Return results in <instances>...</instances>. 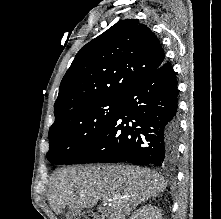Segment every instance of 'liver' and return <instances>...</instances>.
I'll return each mask as SVG.
<instances>
[{"label":"liver","instance_id":"1","mask_svg":"<svg viewBox=\"0 0 221 219\" xmlns=\"http://www.w3.org/2000/svg\"><path fill=\"white\" fill-rule=\"evenodd\" d=\"M164 178L148 169L127 165L76 166L57 170L50 185L54 212L92 208L99 200L109 219H125L130 212L166 189Z\"/></svg>","mask_w":221,"mask_h":219}]
</instances>
